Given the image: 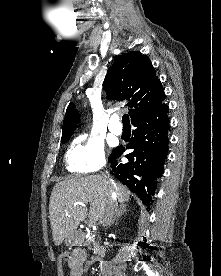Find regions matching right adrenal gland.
I'll return each mask as SVG.
<instances>
[{
  "label": "right adrenal gland",
  "mask_w": 221,
  "mask_h": 276,
  "mask_svg": "<svg viewBox=\"0 0 221 276\" xmlns=\"http://www.w3.org/2000/svg\"><path fill=\"white\" fill-rule=\"evenodd\" d=\"M126 208H127V205H125V204H121L120 205L119 210H118L115 218L113 219V221L111 222V224L108 225L109 227H111L112 225L116 224L117 221L119 220V218L126 214V211H127Z\"/></svg>",
  "instance_id": "2a0ac1e0"
}]
</instances>
